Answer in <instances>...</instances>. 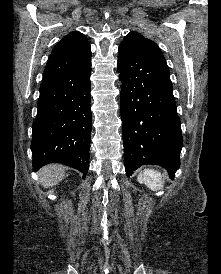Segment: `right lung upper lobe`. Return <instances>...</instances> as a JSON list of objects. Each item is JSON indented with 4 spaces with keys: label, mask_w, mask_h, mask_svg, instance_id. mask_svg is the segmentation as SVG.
<instances>
[{
    "label": "right lung upper lobe",
    "mask_w": 221,
    "mask_h": 274,
    "mask_svg": "<svg viewBox=\"0 0 221 274\" xmlns=\"http://www.w3.org/2000/svg\"><path fill=\"white\" fill-rule=\"evenodd\" d=\"M90 62L91 48L86 36L73 31L55 45L48 58L42 82L81 68Z\"/></svg>",
    "instance_id": "cb5924a9"
}]
</instances>
